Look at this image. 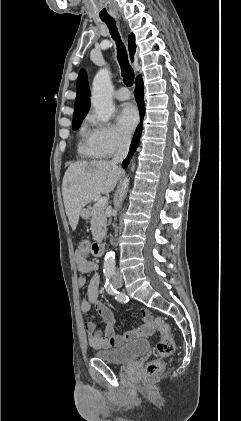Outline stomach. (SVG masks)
Returning <instances> with one entry per match:
<instances>
[{
  "instance_id": "stomach-1",
  "label": "stomach",
  "mask_w": 241,
  "mask_h": 421,
  "mask_svg": "<svg viewBox=\"0 0 241 421\" xmlns=\"http://www.w3.org/2000/svg\"><path fill=\"white\" fill-rule=\"evenodd\" d=\"M80 216L83 219H88L89 216H90V213H89V211L87 209H82L81 212H80Z\"/></svg>"
}]
</instances>
